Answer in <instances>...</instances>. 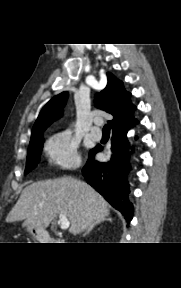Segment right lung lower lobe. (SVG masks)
<instances>
[{"label":"right lung lower lobe","mask_w":181,"mask_h":288,"mask_svg":"<svg viewBox=\"0 0 181 288\" xmlns=\"http://www.w3.org/2000/svg\"><path fill=\"white\" fill-rule=\"evenodd\" d=\"M136 123L137 120L126 128L113 129L111 154L108 162L94 161V154L101 150L97 146L90 152L89 160L82 169L87 182L119 210L127 222L133 218V205L129 201L128 174L131 165L127 132Z\"/></svg>","instance_id":"obj_1"}]
</instances>
